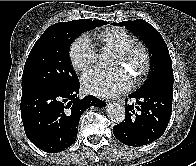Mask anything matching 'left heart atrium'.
Returning a JSON list of instances; mask_svg holds the SVG:
<instances>
[{
    "label": "left heart atrium",
    "mask_w": 196,
    "mask_h": 166,
    "mask_svg": "<svg viewBox=\"0 0 196 166\" xmlns=\"http://www.w3.org/2000/svg\"><path fill=\"white\" fill-rule=\"evenodd\" d=\"M132 75L123 68L114 71L94 69L82 77V86L87 93L97 96H114L130 89L133 85Z\"/></svg>",
    "instance_id": "39dd6f15"
}]
</instances>
